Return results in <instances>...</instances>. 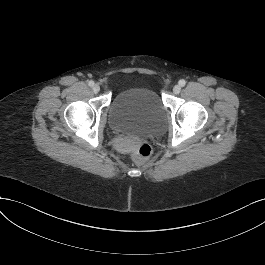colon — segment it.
<instances>
[{"label": "colon", "instance_id": "colon-1", "mask_svg": "<svg viewBox=\"0 0 265 265\" xmlns=\"http://www.w3.org/2000/svg\"><path fill=\"white\" fill-rule=\"evenodd\" d=\"M152 154V148L149 144L143 143L136 147L133 151V157L137 162H143Z\"/></svg>", "mask_w": 265, "mask_h": 265}]
</instances>
